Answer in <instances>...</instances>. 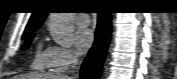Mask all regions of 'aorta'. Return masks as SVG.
Here are the masks:
<instances>
[{
	"label": "aorta",
	"instance_id": "1",
	"mask_svg": "<svg viewBox=\"0 0 177 79\" xmlns=\"http://www.w3.org/2000/svg\"><path fill=\"white\" fill-rule=\"evenodd\" d=\"M49 30L56 44L70 46L74 32L72 13H51Z\"/></svg>",
	"mask_w": 177,
	"mask_h": 79
}]
</instances>
